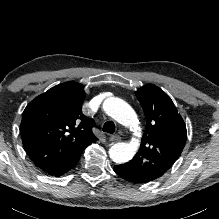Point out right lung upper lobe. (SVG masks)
<instances>
[{
	"instance_id": "obj_1",
	"label": "right lung upper lobe",
	"mask_w": 219,
	"mask_h": 219,
	"mask_svg": "<svg viewBox=\"0 0 219 219\" xmlns=\"http://www.w3.org/2000/svg\"><path fill=\"white\" fill-rule=\"evenodd\" d=\"M84 88L66 82L49 89L25 108L20 126L24 148L34 164L52 172L79 161L82 151L97 141L93 119L81 111Z\"/></svg>"
}]
</instances>
